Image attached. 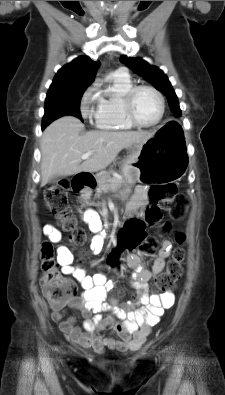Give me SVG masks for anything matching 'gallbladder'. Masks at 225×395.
I'll list each match as a JSON object with an SVG mask.
<instances>
[{"instance_id": "bac80fb5", "label": "gallbladder", "mask_w": 225, "mask_h": 395, "mask_svg": "<svg viewBox=\"0 0 225 395\" xmlns=\"http://www.w3.org/2000/svg\"><path fill=\"white\" fill-rule=\"evenodd\" d=\"M55 180H57V177H56V176L51 177L49 181H50V182H53V181H55Z\"/></svg>"}]
</instances>
